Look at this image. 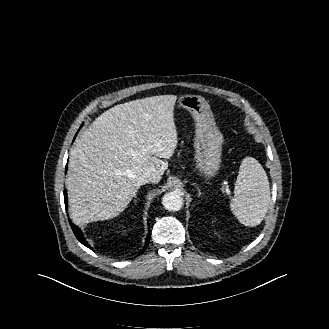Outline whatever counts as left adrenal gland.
Returning a JSON list of instances; mask_svg holds the SVG:
<instances>
[{
	"mask_svg": "<svg viewBox=\"0 0 329 329\" xmlns=\"http://www.w3.org/2000/svg\"><path fill=\"white\" fill-rule=\"evenodd\" d=\"M196 187H197V185H196ZM197 190H198V196L200 197V196L202 195V192H201V190L199 189V187H197Z\"/></svg>",
	"mask_w": 329,
	"mask_h": 329,
	"instance_id": "a2214340",
	"label": "left adrenal gland"
}]
</instances>
